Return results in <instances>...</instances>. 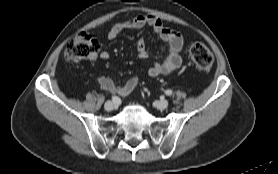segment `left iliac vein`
<instances>
[{
	"label": "left iliac vein",
	"instance_id": "left-iliac-vein-1",
	"mask_svg": "<svg viewBox=\"0 0 278 174\" xmlns=\"http://www.w3.org/2000/svg\"><path fill=\"white\" fill-rule=\"evenodd\" d=\"M168 101L167 100H160V101H157L156 103H155V107L157 108V109H160V110H164V109H166L167 107H168Z\"/></svg>",
	"mask_w": 278,
	"mask_h": 174
}]
</instances>
